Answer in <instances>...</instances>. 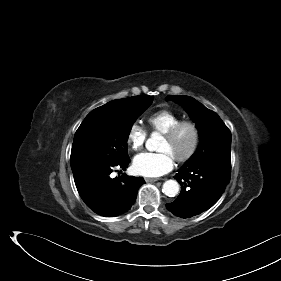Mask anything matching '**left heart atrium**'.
Masks as SVG:
<instances>
[{
  "label": "left heart atrium",
  "instance_id": "obj_1",
  "mask_svg": "<svg viewBox=\"0 0 281 281\" xmlns=\"http://www.w3.org/2000/svg\"><path fill=\"white\" fill-rule=\"evenodd\" d=\"M174 160L175 158L167 151L143 152L135 156L133 169L141 176L159 177L172 170Z\"/></svg>",
  "mask_w": 281,
  "mask_h": 281
}]
</instances>
